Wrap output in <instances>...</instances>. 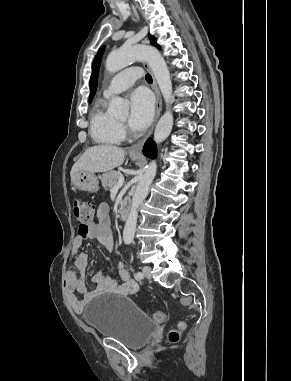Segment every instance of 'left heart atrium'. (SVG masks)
Here are the masks:
<instances>
[{"instance_id": "obj_1", "label": "left heart atrium", "mask_w": 291, "mask_h": 381, "mask_svg": "<svg viewBox=\"0 0 291 381\" xmlns=\"http://www.w3.org/2000/svg\"><path fill=\"white\" fill-rule=\"evenodd\" d=\"M154 116V100L151 94L144 90L134 91L130 97L129 125L133 130L145 129Z\"/></svg>"}]
</instances>
